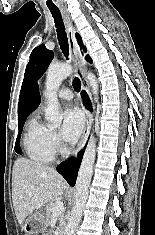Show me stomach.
Listing matches in <instances>:
<instances>
[{"mask_svg": "<svg viewBox=\"0 0 155 235\" xmlns=\"http://www.w3.org/2000/svg\"><path fill=\"white\" fill-rule=\"evenodd\" d=\"M45 226L46 220L44 215L40 211H37L27 219L24 225V231L26 235H37Z\"/></svg>", "mask_w": 155, "mask_h": 235, "instance_id": "stomach-1", "label": "stomach"}]
</instances>
